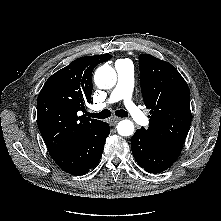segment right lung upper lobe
<instances>
[{
  "label": "right lung upper lobe",
  "instance_id": "obj_1",
  "mask_svg": "<svg viewBox=\"0 0 221 221\" xmlns=\"http://www.w3.org/2000/svg\"><path fill=\"white\" fill-rule=\"evenodd\" d=\"M110 54L81 57L50 76L37 99V123L51 157L102 121L79 116L91 102L94 67Z\"/></svg>",
  "mask_w": 221,
  "mask_h": 221
}]
</instances>
